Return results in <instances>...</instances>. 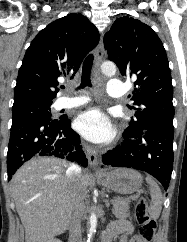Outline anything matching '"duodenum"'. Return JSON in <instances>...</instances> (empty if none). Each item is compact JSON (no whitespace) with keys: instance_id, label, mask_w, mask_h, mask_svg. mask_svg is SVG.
Instances as JSON below:
<instances>
[{"instance_id":"410a0bca","label":"duodenum","mask_w":187,"mask_h":242,"mask_svg":"<svg viewBox=\"0 0 187 242\" xmlns=\"http://www.w3.org/2000/svg\"><path fill=\"white\" fill-rule=\"evenodd\" d=\"M112 236L104 234L102 237V242H111Z\"/></svg>"}]
</instances>
